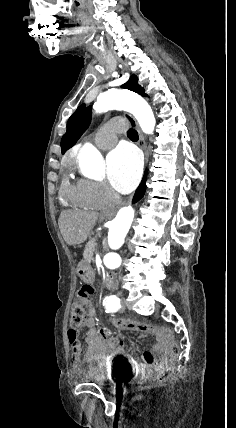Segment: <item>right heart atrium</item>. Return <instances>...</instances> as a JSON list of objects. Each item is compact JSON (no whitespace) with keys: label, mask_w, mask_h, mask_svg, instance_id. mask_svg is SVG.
Wrapping results in <instances>:
<instances>
[{"label":"right heart atrium","mask_w":236,"mask_h":428,"mask_svg":"<svg viewBox=\"0 0 236 428\" xmlns=\"http://www.w3.org/2000/svg\"><path fill=\"white\" fill-rule=\"evenodd\" d=\"M87 192L102 205L116 200L117 196L105 183L86 181Z\"/></svg>","instance_id":"d8ad5b80"}]
</instances>
